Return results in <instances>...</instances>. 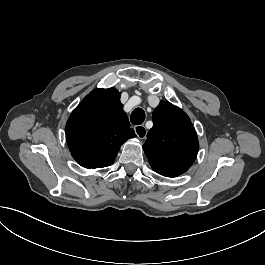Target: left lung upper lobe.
<instances>
[{"label": "left lung upper lobe", "mask_w": 265, "mask_h": 265, "mask_svg": "<svg viewBox=\"0 0 265 265\" xmlns=\"http://www.w3.org/2000/svg\"><path fill=\"white\" fill-rule=\"evenodd\" d=\"M153 127L143 145L153 170L166 177L185 173L197 157L196 131L185 112L168 101L154 110Z\"/></svg>", "instance_id": "obj_1"}]
</instances>
